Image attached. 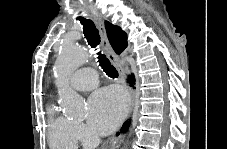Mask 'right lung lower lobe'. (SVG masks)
I'll return each mask as SVG.
<instances>
[{"label":"right lung lower lobe","mask_w":227,"mask_h":149,"mask_svg":"<svg viewBox=\"0 0 227 149\" xmlns=\"http://www.w3.org/2000/svg\"><path fill=\"white\" fill-rule=\"evenodd\" d=\"M134 81H135L134 75L129 76L128 82H129L131 85H133ZM129 125H130V122H125V123L123 124V127L121 128V132H125V131L128 129ZM118 134H119V133H118ZM118 134H117V135H118Z\"/></svg>","instance_id":"right-lung-lower-lobe-1"}]
</instances>
